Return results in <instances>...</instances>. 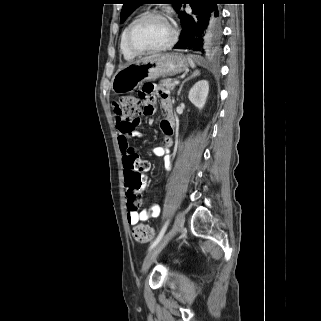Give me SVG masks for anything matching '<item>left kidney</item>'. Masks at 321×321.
<instances>
[{"label":"left kidney","instance_id":"5707ae66","mask_svg":"<svg viewBox=\"0 0 321 321\" xmlns=\"http://www.w3.org/2000/svg\"><path fill=\"white\" fill-rule=\"evenodd\" d=\"M209 93V84L206 80H200L190 89L188 98L198 108L203 109Z\"/></svg>","mask_w":321,"mask_h":321}]
</instances>
